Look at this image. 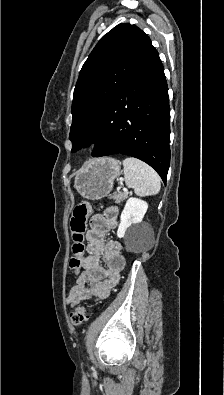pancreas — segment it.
Wrapping results in <instances>:
<instances>
[{
  "label": "pancreas",
  "mask_w": 224,
  "mask_h": 395,
  "mask_svg": "<svg viewBox=\"0 0 224 395\" xmlns=\"http://www.w3.org/2000/svg\"><path fill=\"white\" fill-rule=\"evenodd\" d=\"M127 197H128V193H122V192H118V193L114 194V196H113V198L115 199V202L117 204H120Z\"/></svg>",
  "instance_id": "obj_1"
}]
</instances>
